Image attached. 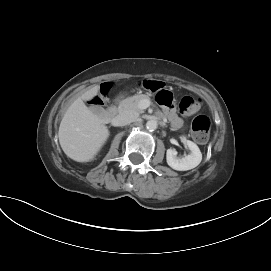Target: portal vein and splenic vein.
I'll return each mask as SVG.
<instances>
[{
  "mask_svg": "<svg viewBox=\"0 0 271 271\" xmlns=\"http://www.w3.org/2000/svg\"><path fill=\"white\" fill-rule=\"evenodd\" d=\"M150 105V102L148 100H143L140 102V107L142 109H146Z\"/></svg>",
  "mask_w": 271,
  "mask_h": 271,
  "instance_id": "18ae733b",
  "label": "portal vein and splenic vein"
}]
</instances>
